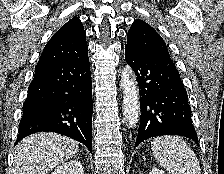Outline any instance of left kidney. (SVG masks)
<instances>
[{"label": "left kidney", "mask_w": 224, "mask_h": 174, "mask_svg": "<svg viewBox=\"0 0 224 174\" xmlns=\"http://www.w3.org/2000/svg\"><path fill=\"white\" fill-rule=\"evenodd\" d=\"M149 174H165L162 170L154 168L150 171Z\"/></svg>", "instance_id": "obj_1"}]
</instances>
